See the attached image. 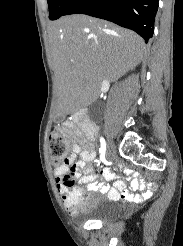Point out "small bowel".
Masks as SVG:
<instances>
[{
  "label": "small bowel",
  "mask_w": 183,
  "mask_h": 246,
  "mask_svg": "<svg viewBox=\"0 0 183 246\" xmlns=\"http://www.w3.org/2000/svg\"><path fill=\"white\" fill-rule=\"evenodd\" d=\"M93 139L89 138L88 142L83 141L80 144L72 145L68 157V164L54 169L57 190L65 207L72 214H76L79 211L88 208L92 204L94 197L92 195L84 196L80 189L70 190V187L73 184H66L64 178H74V181L77 180L84 184L88 190L106 194L111 200H118L120 198L135 200L141 198L140 196L126 191L125 179L128 178L133 179L131 183L132 189H148V184H145L144 180L140 178V174H135L136 170L131 169V165H118L117 169L114 170V173H112L108 167L102 168L100 171L101 176L107 180L115 178V186L110 188L102 183L96 185L97 175L93 166L90 164L96 157V153L91 144ZM77 154H80V159L75 161ZM117 174H125V179ZM142 198H151V193H142ZM75 199H81L83 201V206L81 208H73L71 206Z\"/></svg>",
  "instance_id": "obj_1"
}]
</instances>
